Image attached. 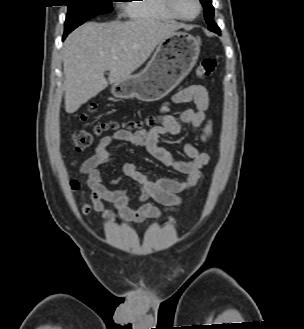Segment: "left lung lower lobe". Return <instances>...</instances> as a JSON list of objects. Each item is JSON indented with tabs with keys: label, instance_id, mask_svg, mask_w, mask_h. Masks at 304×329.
Instances as JSON below:
<instances>
[{
	"label": "left lung lower lobe",
	"instance_id": "obj_1",
	"mask_svg": "<svg viewBox=\"0 0 304 329\" xmlns=\"http://www.w3.org/2000/svg\"><path fill=\"white\" fill-rule=\"evenodd\" d=\"M212 24V27H208V29L220 35V29L217 24L214 21L212 22Z\"/></svg>",
	"mask_w": 304,
	"mask_h": 329
}]
</instances>
